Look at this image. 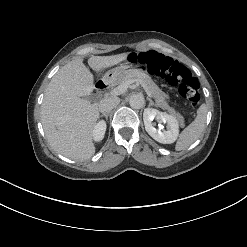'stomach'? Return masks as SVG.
Here are the masks:
<instances>
[{"mask_svg":"<svg viewBox=\"0 0 247 247\" xmlns=\"http://www.w3.org/2000/svg\"><path fill=\"white\" fill-rule=\"evenodd\" d=\"M129 72L143 73L140 70L134 69L129 65H120L109 70L104 76V81L108 84H118L123 76Z\"/></svg>","mask_w":247,"mask_h":247,"instance_id":"obj_1","label":"stomach"}]
</instances>
